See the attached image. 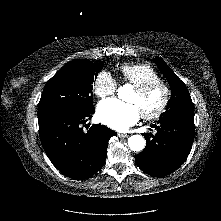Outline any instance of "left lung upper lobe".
Here are the masks:
<instances>
[{"mask_svg": "<svg viewBox=\"0 0 221 221\" xmlns=\"http://www.w3.org/2000/svg\"><path fill=\"white\" fill-rule=\"evenodd\" d=\"M154 61L168 80L171 88V99L166 111L159 118H194L193 103L185 84L159 57H155Z\"/></svg>", "mask_w": 221, "mask_h": 221, "instance_id": "1", "label": "left lung upper lobe"}]
</instances>
